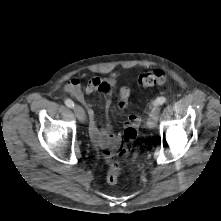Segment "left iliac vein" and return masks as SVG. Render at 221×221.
Wrapping results in <instances>:
<instances>
[{
	"instance_id": "left-iliac-vein-1",
	"label": "left iliac vein",
	"mask_w": 221,
	"mask_h": 221,
	"mask_svg": "<svg viewBox=\"0 0 221 221\" xmlns=\"http://www.w3.org/2000/svg\"><path fill=\"white\" fill-rule=\"evenodd\" d=\"M158 115H159V109L158 107H155L149 114L146 127L148 129L155 128L157 121H158Z\"/></svg>"
}]
</instances>
